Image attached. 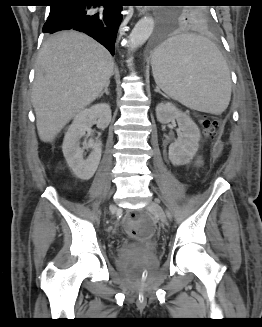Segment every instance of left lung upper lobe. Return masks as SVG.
<instances>
[{
  "mask_svg": "<svg viewBox=\"0 0 262 327\" xmlns=\"http://www.w3.org/2000/svg\"><path fill=\"white\" fill-rule=\"evenodd\" d=\"M180 3H203L204 0H178ZM161 29L166 30L181 23L184 25H210L212 16L206 6H189L160 11Z\"/></svg>",
  "mask_w": 262,
  "mask_h": 327,
  "instance_id": "1",
  "label": "left lung upper lobe"
}]
</instances>
